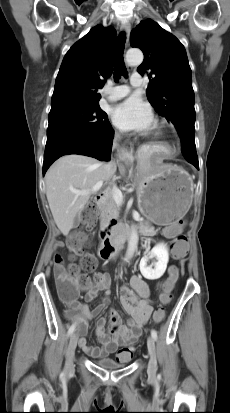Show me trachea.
Returning <instances> with one entry per match:
<instances>
[{
    "mask_svg": "<svg viewBox=\"0 0 230 413\" xmlns=\"http://www.w3.org/2000/svg\"><path fill=\"white\" fill-rule=\"evenodd\" d=\"M125 33L122 32L118 36L117 43L113 54L114 79L118 81L121 76L127 77L128 73L125 67L124 53Z\"/></svg>",
    "mask_w": 230,
    "mask_h": 413,
    "instance_id": "1",
    "label": "trachea"
}]
</instances>
